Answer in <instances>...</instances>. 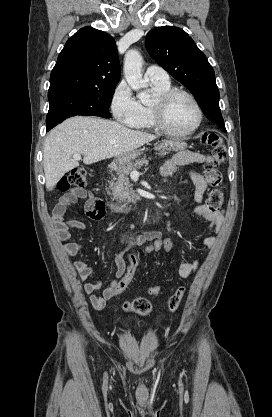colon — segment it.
<instances>
[{"label":"colon","mask_w":272,"mask_h":417,"mask_svg":"<svg viewBox=\"0 0 272 417\" xmlns=\"http://www.w3.org/2000/svg\"><path fill=\"white\" fill-rule=\"evenodd\" d=\"M202 141L211 146L212 156L209 163L210 166L213 164L220 165L221 163L225 162L227 158V150L222 138L218 134H205L202 138ZM87 183V170L85 168L78 167L71 170L68 175L59 181L58 188L62 191H66L72 187L83 188L87 185ZM140 245L144 246L141 252L133 251L129 254L128 265L126 266L123 277L115 286L114 296H118L123 293L131 283L142 256H149L161 252H169L173 248V241L169 237L159 236ZM161 289L162 286L160 283L155 284L149 288L148 294L152 297H155L160 293ZM184 293L185 288L179 287L170 297L169 309L171 312H175L179 308ZM124 309L127 312H134L139 315L146 316L151 311V304L145 298H136L127 302L124 305Z\"/></svg>","instance_id":"1"}]
</instances>
